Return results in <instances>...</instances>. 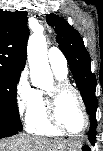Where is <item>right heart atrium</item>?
Listing matches in <instances>:
<instances>
[{
    "mask_svg": "<svg viewBox=\"0 0 103 151\" xmlns=\"http://www.w3.org/2000/svg\"><path fill=\"white\" fill-rule=\"evenodd\" d=\"M34 99V90L31 88L27 76L22 73L15 89V100L18 113L23 116L27 115Z\"/></svg>",
    "mask_w": 103,
    "mask_h": 151,
    "instance_id": "1",
    "label": "right heart atrium"
}]
</instances>
